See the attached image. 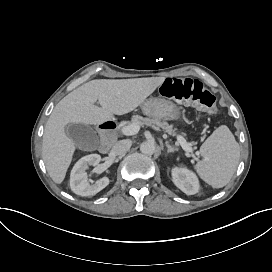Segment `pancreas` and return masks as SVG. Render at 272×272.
I'll list each match as a JSON object with an SVG mask.
<instances>
[{
    "mask_svg": "<svg viewBox=\"0 0 272 272\" xmlns=\"http://www.w3.org/2000/svg\"><path fill=\"white\" fill-rule=\"evenodd\" d=\"M133 123H137L139 126H151L153 128H158L164 130L169 135H176L175 130L173 129V125H169L167 122H162L157 118H144L139 115H135L132 118ZM183 136H185V133H182Z\"/></svg>",
    "mask_w": 272,
    "mask_h": 272,
    "instance_id": "obj_1",
    "label": "pancreas"
}]
</instances>
